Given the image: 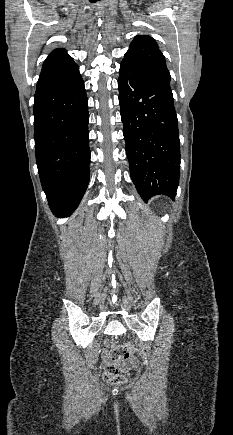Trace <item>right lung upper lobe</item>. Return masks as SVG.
Masks as SVG:
<instances>
[{"instance_id": "cb5924a9", "label": "right lung upper lobe", "mask_w": 233, "mask_h": 435, "mask_svg": "<svg viewBox=\"0 0 233 435\" xmlns=\"http://www.w3.org/2000/svg\"><path fill=\"white\" fill-rule=\"evenodd\" d=\"M78 73L79 67L66 50L55 49L43 63L36 93L49 89Z\"/></svg>"}]
</instances>
